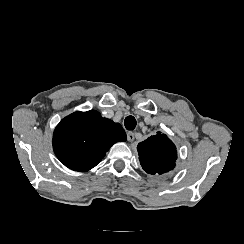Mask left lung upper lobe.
<instances>
[{"mask_svg": "<svg viewBox=\"0 0 244 244\" xmlns=\"http://www.w3.org/2000/svg\"><path fill=\"white\" fill-rule=\"evenodd\" d=\"M137 150L141 166L149 174L162 175L175 167L176 146L161 132L139 143Z\"/></svg>", "mask_w": 244, "mask_h": 244, "instance_id": "obj_1", "label": "left lung upper lobe"}]
</instances>
